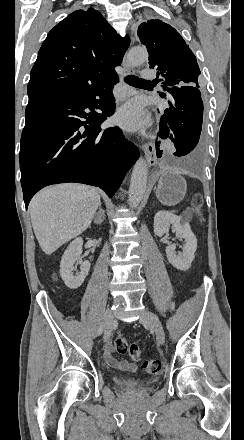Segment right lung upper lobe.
<instances>
[{
    "label": "right lung upper lobe",
    "instance_id": "1",
    "mask_svg": "<svg viewBox=\"0 0 244 440\" xmlns=\"http://www.w3.org/2000/svg\"><path fill=\"white\" fill-rule=\"evenodd\" d=\"M130 44L101 13L77 10L57 24L43 42L30 73L28 97L78 93L116 75Z\"/></svg>",
    "mask_w": 244,
    "mask_h": 440
}]
</instances>
